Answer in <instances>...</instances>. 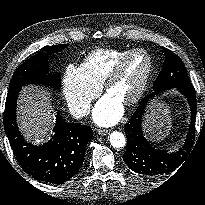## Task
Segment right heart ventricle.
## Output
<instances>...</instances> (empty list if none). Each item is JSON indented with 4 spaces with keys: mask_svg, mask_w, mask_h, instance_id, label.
<instances>
[{
    "mask_svg": "<svg viewBox=\"0 0 205 205\" xmlns=\"http://www.w3.org/2000/svg\"><path fill=\"white\" fill-rule=\"evenodd\" d=\"M132 49H97L91 52L80 68L92 83L101 86L114 65Z\"/></svg>",
    "mask_w": 205,
    "mask_h": 205,
    "instance_id": "e07e8e85",
    "label": "right heart ventricle"
}]
</instances>
